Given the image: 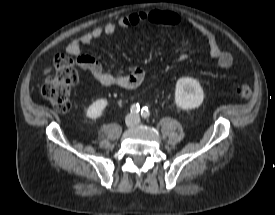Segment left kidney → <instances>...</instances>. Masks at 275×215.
Returning a JSON list of instances; mask_svg holds the SVG:
<instances>
[{
	"mask_svg": "<svg viewBox=\"0 0 275 215\" xmlns=\"http://www.w3.org/2000/svg\"><path fill=\"white\" fill-rule=\"evenodd\" d=\"M204 99V92L199 82L190 77L177 80L175 88V102L178 107L188 110L199 107Z\"/></svg>",
	"mask_w": 275,
	"mask_h": 215,
	"instance_id": "left-kidney-1",
	"label": "left kidney"
}]
</instances>
